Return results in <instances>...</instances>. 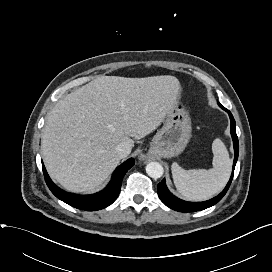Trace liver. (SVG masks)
Here are the masks:
<instances>
[{
  "instance_id": "1",
  "label": "liver",
  "mask_w": 272,
  "mask_h": 272,
  "mask_svg": "<svg viewBox=\"0 0 272 272\" xmlns=\"http://www.w3.org/2000/svg\"><path fill=\"white\" fill-rule=\"evenodd\" d=\"M170 75L100 76L59 100L47 117L42 155L53 180L73 192L97 189L122 159L121 142L134 145L153 132L178 102Z\"/></svg>"
}]
</instances>
